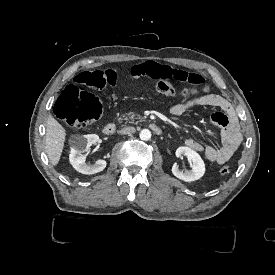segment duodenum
Listing matches in <instances>:
<instances>
[{"mask_svg":"<svg viewBox=\"0 0 275 275\" xmlns=\"http://www.w3.org/2000/svg\"><path fill=\"white\" fill-rule=\"evenodd\" d=\"M150 130L156 135H161L163 133L162 128L157 124H151ZM115 132H116V126L113 123H108L103 128V133L106 136H112L115 134Z\"/></svg>","mask_w":275,"mask_h":275,"instance_id":"obj_1","label":"duodenum"}]
</instances>
